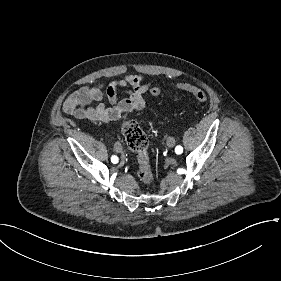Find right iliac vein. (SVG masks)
I'll use <instances>...</instances> for the list:
<instances>
[{
	"label": "right iliac vein",
	"instance_id": "1",
	"mask_svg": "<svg viewBox=\"0 0 281 281\" xmlns=\"http://www.w3.org/2000/svg\"><path fill=\"white\" fill-rule=\"evenodd\" d=\"M114 148H115L116 152H118V153H121L123 150L122 145L119 142L115 143Z\"/></svg>",
	"mask_w": 281,
	"mask_h": 281
}]
</instances>
